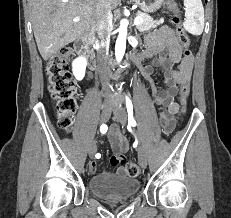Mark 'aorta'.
Returning <instances> with one entry per match:
<instances>
[{
    "label": "aorta",
    "instance_id": "aorta-1",
    "mask_svg": "<svg viewBox=\"0 0 231 218\" xmlns=\"http://www.w3.org/2000/svg\"><path fill=\"white\" fill-rule=\"evenodd\" d=\"M127 25L128 22L126 20H122L119 27V35L116 40L115 45V56L117 62H121L123 59L125 49H126V36H127Z\"/></svg>",
    "mask_w": 231,
    "mask_h": 218
}]
</instances>
